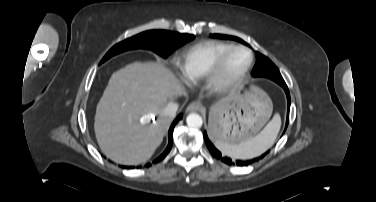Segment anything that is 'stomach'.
<instances>
[{
	"instance_id": "obj_1",
	"label": "stomach",
	"mask_w": 376,
	"mask_h": 202,
	"mask_svg": "<svg viewBox=\"0 0 376 202\" xmlns=\"http://www.w3.org/2000/svg\"><path fill=\"white\" fill-rule=\"evenodd\" d=\"M272 102L259 88L234 90L211 107L209 134L214 141L240 144L253 138L269 120Z\"/></svg>"
}]
</instances>
